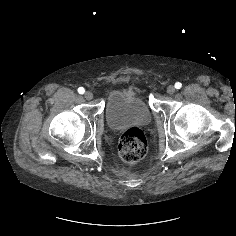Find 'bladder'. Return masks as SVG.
Returning a JSON list of instances; mask_svg holds the SVG:
<instances>
[{"label": "bladder", "mask_w": 236, "mask_h": 236, "mask_svg": "<svg viewBox=\"0 0 236 236\" xmlns=\"http://www.w3.org/2000/svg\"><path fill=\"white\" fill-rule=\"evenodd\" d=\"M152 118V110L143 94L121 88L115 90L105 105V120L112 129H120L127 124H147Z\"/></svg>", "instance_id": "bladder-1"}]
</instances>
